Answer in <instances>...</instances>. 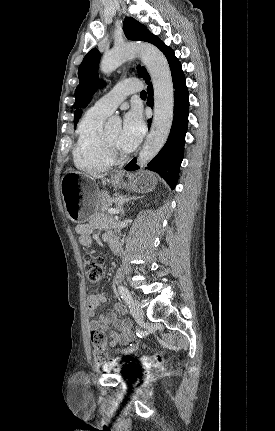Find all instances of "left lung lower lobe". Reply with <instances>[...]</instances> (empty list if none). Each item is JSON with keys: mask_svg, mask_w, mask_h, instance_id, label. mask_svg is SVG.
Returning a JSON list of instances; mask_svg holds the SVG:
<instances>
[{"mask_svg": "<svg viewBox=\"0 0 275 431\" xmlns=\"http://www.w3.org/2000/svg\"><path fill=\"white\" fill-rule=\"evenodd\" d=\"M168 60L174 86V117L169 138L157 156L148 164L146 169L155 171L163 177L174 189L179 175V167L183 160L185 135L188 128L189 95L184 72L174 51L169 48L164 54ZM148 84L147 105L153 107V86L150 79ZM151 120H148L150 127ZM136 159L125 166L126 170L136 169Z\"/></svg>", "mask_w": 275, "mask_h": 431, "instance_id": "obj_1", "label": "left lung lower lobe"}]
</instances>
